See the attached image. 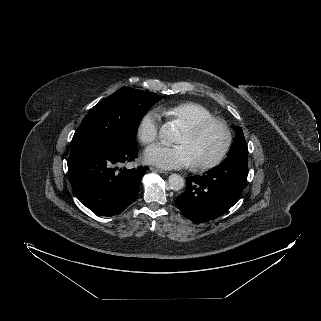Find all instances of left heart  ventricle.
I'll return each instance as SVG.
<instances>
[{"mask_svg": "<svg viewBox=\"0 0 321 321\" xmlns=\"http://www.w3.org/2000/svg\"><path fill=\"white\" fill-rule=\"evenodd\" d=\"M224 132L219 125H210L198 135H191L185 129L178 143L187 145L193 156V163L212 159L222 147Z\"/></svg>", "mask_w": 321, "mask_h": 321, "instance_id": "1", "label": "left heart ventricle"}]
</instances>
